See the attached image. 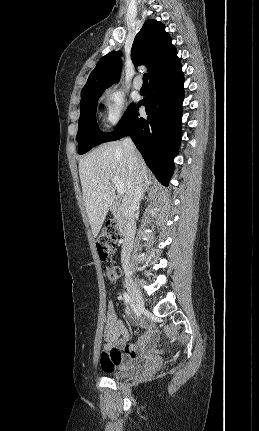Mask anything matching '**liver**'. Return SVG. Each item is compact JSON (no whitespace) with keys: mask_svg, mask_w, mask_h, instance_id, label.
I'll list each match as a JSON object with an SVG mask.
<instances>
[{"mask_svg":"<svg viewBox=\"0 0 259 431\" xmlns=\"http://www.w3.org/2000/svg\"><path fill=\"white\" fill-rule=\"evenodd\" d=\"M143 181H148V168L138 153ZM83 201L94 237L111 208L115 190L112 178L118 177L127 194L133 183L123 142L114 141L97 147L79 161Z\"/></svg>","mask_w":259,"mask_h":431,"instance_id":"obj_1","label":"liver"}]
</instances>
